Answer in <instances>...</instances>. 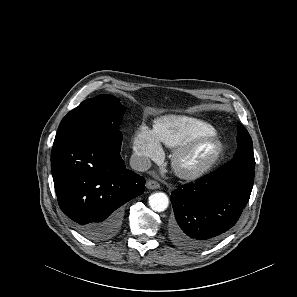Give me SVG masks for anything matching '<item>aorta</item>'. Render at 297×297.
I'll list each match as a JSON object with an SVG mask.
<instances>
[{"label": "aorta", "instance_id": "obj_1", "mask_svg": "<svg viewBox=\"0 0 297 297\" xmlns=\"http://www.w3.org/2000/svg\"><path fill=\"white\" fill-rule=\"evenodd\" d=\"M149 205L153 211L162 212L169 205V199L165 193L157 192L149 197Z\"/></svg>", "mask_w": 297, "mask_h": 297}]
</instances>
